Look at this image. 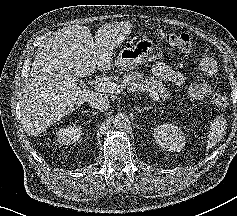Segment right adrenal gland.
Wrapping results in <instances>:
<instances>
[{
    "label": "right adrenal gland",
    "instance_id": "obj_1",
    "mask_svg": "<svg viewBox=\"0 0 237 216\" xmlns=\"http://www.w3.org/2000/svg\"><path fill=\"white\" fill-rule=\"evenodd\" d=\"M83 113H86V114H93V115H97L98 113L97 112H95V111H89V112H83Z\"/></svg>",
    "mask_w": 237,
    "mask_h": 216
}]
</instances>
